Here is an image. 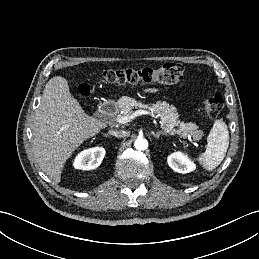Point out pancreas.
<instances>
[{
	"mask_svg": "<svg viewBox=\"0 0 259 259\" xmlns=\"http://www.w3.org/2000/svg\"><path fill=\"white\" fill-rule=\"evenodd\" d=\"M117 108L123 113L120 116L132 114L134 107L149 109L161 119L162 128L171 135H178L181 138L191 137L193 140H200L203 132L194 123H184L178 120L179 114L176 108L169 103L157 101L151 104H142L135 98L123 96L117 101ZM177 127V128H175Z\"/></svg>",
	"mask_w": 259,
	"mask_h": 259,
	"instance_id": "obj_1",
	"label": "pancreas"
}]
</instances>
